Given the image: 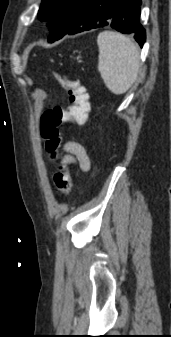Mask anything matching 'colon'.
I'll list each match as a JSON object with an SVG mask.
<instances>
[{
  "mask_svg": "<svg viewBox=\"0 0 171 337\" xmlns=\"http://www.w3.org/2000/svg\"><path fill=\"white\" fill-rule=\"evenodd\" d=\"M58 86L64 88L69 96V106H55L45 110L40 118L39 132L44 141L45 149L53 159H59L62 135L60 128L64 124L85 123L89 111V96L86 87L76 80L64 75L54 74ZM54 184L64 196H68L72 188L69 166L60 163L58 172L54 175Z\"/></svg>",
  "mask_w": 171,
  "mask_h": 337,
  "instance_id": "1",
  "label": "colon"
}]
</instances>
